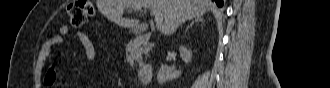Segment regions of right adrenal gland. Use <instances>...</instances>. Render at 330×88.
Returning a JSON list of instances; mask_svg holds the SVG:
<instances>
[{"mask_svg":"<svg viewBox=\"0 0 330 88\" xmlns=\"http://www.w3.org/2000/svg\"><path fill=\"white\" fill-rule=\"evenodd\" d=\"M194 22H201V23H204V22H205V19H204L202 16L195 17V19L190 23V25H188V26L186 27L185 33L188 31V29H189L190 27H192V25L194 24Z\"/></svg>","mask_w":330,"mask_h":88,"instance_id":"2a0ac1e0","label":"right adrenal gland"}]
</instances>
